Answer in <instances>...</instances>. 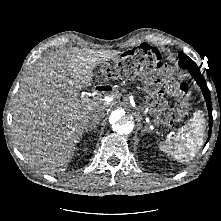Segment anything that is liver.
<instances>
[{
  "instance_id": "1",
  "label": "liver",
  "mask_w": 221,
  "mask_h": 221,
  "mask_svg": "<svg viewBox=\"0 0 221 221\" xmlns=\"http://www.w3.org/2000/svg\"><path fill=\"white\" fill-rule=\"evenodd\" d=\"M120 52L74 47L44 56L28 71L13 106L15 145L25 160L45 173L63 171L91 117L106 115L104 98L81 96L93 70Z\"/></svg>"
}]
</instances>
